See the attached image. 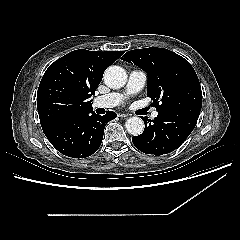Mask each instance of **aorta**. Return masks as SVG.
<instances>
[{"mask_svg":"<svg viewBox=\"0 0 240 240\" xmlns=\"http://www.w3.org/2000/svg\"><path fill=\"white\" fill-rule=\"evenodd\" d=\"M103 78L108 87L118 89L126 84L127 74L122 67L115 65L106 69ZM125 127L129 134L138 136L144 131V122L139 117H130L125 122Z\"/></svg>","mask_w":240,"mask_h":240,"instance_id":"obj_1","label":"aorta"}]
</instances>
